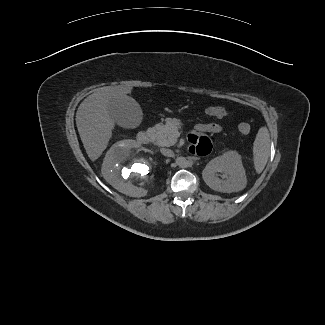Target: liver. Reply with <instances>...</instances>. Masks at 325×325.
Wrapping results in <instances>:
<instances>
[{"mask_svg":"<svg viewBox=\"0 0 325 325\" xmlns=\"http://www.w3.org/2000/svg\"><path fill=\"white\" fill-rule=\"evenodd\" d=\"M131 91L132 87L122 85L101 87L80 104L76 112V125L86 153L92 161L102 155L115 128L108 105L117 98H131L127 95Z\"/></svg>","mask_w":325,"mask_h":325,"instance_id":"1","label":"liver"}]
</instances>
